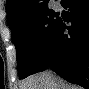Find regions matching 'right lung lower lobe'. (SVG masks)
<instances>
[{"label":"right lung lower lobe","mask_w":89,"mask_h":89,"mask_svg":"<svg viewBox=\"0 0 89 89\" xmlns=\"http://www.w3.org/2000/svg\"><path fill=\"white\" fill-rule=\"evenodd\" d=\"M68 20H60L37 72L51 68L65 80L86 88L89 80V4L86 0H62ZM71 23V26H66ZM36 72V73H37Z\"/></svg>","instance_id":"1"}]
</instances>
